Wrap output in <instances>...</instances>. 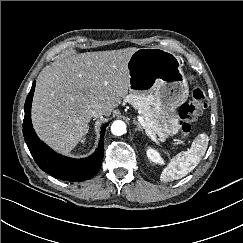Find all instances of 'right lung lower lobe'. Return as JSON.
Masks as SVG:
<instances>
[{"mask_svg":"<svg viewBox=\"0 0 243 243\" xmlns=\"http://www.w3.org/2000/svg\"><path fill=\"white\" fill-rule=\"evenodd\" d=\"M35 81L26 98L23 135L36 164L46 173L65 181H84L93 177L100 169L104 154V133L108 124L102 127L97 150L85 159H72L55 153L36 135L31 123V104Z\"/></svg>","mask_w":243,"mask_h":243,"instance_id":"right-lung-lower-lobe-1","label":"right lung lower lobe"}]
</instances>
